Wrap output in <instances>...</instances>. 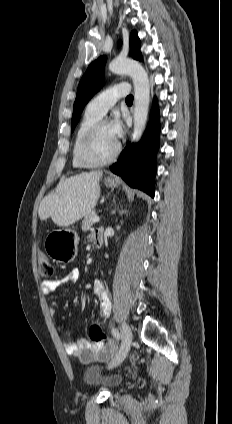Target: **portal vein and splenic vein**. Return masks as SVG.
Listing matches in <instances>:
<instances>
[{
    "label": "portal vein and splenic vein",
    "instance_id": "1",
    "mask_svg": "<svg viewBox=\"0 0 232 424\" xmlns=\"http://www.w3.org/2000/svg\"><path fill=\"white\" fill-rule=\"evenodd\" d=\"M92 221L94 223L99 222L100 221V218L98 216H95V217H93Z\"/></svg>",
    "mask_w": 232,
    "mask_h": 424
}]
</instances>
